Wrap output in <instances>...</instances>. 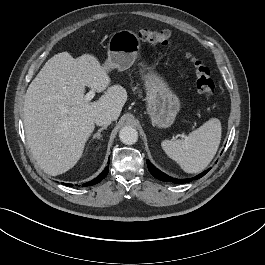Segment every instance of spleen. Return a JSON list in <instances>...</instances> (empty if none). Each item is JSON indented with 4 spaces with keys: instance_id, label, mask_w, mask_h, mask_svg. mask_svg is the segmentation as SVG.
<instances>
[{
    "instance_id": "3e777b00",
    "label": "spleen",
    "mask_w": 265,
    "mask_h": 265,
    "mask_svg": "<svg viewBox=\"0 0 265 265\" xmlns=\"http://www.w3.org/2000/svg\"><path fill=\"white\" fill-rule=\"evenodd\" d=\"M220 141L221 123L213 118L192 131L186 140H164L161 145L186 173H199L214 158Z\"/></svg>"
}]
</instances>
